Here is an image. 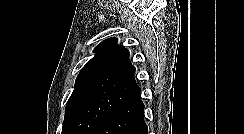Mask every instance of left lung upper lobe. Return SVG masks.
<instances>
[{
	"label": "left lung upper lobe",
	"mask_w": 244,
	"mask_h": 134,
	"mask_svg": "<svg viewBox=\"0 0 244 134\" xmlns=\"http://www.w3.org/2000/svg\"><path fill=\"white\" fill-rule=\"evenodd\" d=\"M116 42V38L102 41L77 76L62 134H95L112 113L140 96L129 51Z\"/></svg>",
	"instance_id": "1"
}]
</instances>
